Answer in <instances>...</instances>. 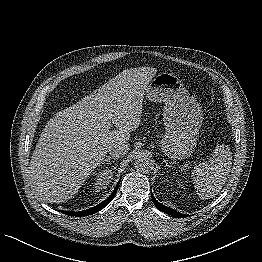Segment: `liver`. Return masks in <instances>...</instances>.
<instances>
[{"label":"liver","instance_id":"liver-1","mask_svg":"<svg viewBox=\"0 0 262 262\" xmlns=\"http://www.w3.org/2000/svg\"><path fill=\"white\" fill-rule=\"evenodd\" d=\"M157 69H127L45 125L31 157L29 179L50 203L69 200L141 122L143 96ZM112 124L116 130L111 131Z\"/></svg>","mask_w":262,"mask_h":262}]
</instances>
